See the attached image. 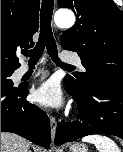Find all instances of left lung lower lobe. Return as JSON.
<instances>
[{
	"label": "left lung lower lobe",
	"instance_id": "left-lung-lower-lobe-1",
	"mask_svg": "<svg viewBox=\"0 0 123 152\" xmlns=\"http://www.w3.org/2000/svg\"><path fill=\"white\" fill-rule=\"evenodd\" d=\"M67 92L79 105V121L58 124L55 144L72 142L91 134H110L123 139V81L98 82L84 92L64 78Z\"/></svg>",
	"mask_w": 123,
	"mask_h": 152
}]
</instances>
